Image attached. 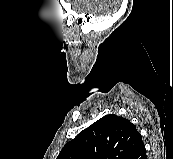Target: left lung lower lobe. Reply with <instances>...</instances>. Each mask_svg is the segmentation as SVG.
I'll list each match as a JSON object with an SVG mask.
<instances>
[{
  "label": "left lung lower lobe",
  "mask_w": 173,
  "mask_h": 159,
  "mask_svg": "<svg viewBox=\"0 0 173 159\" xmlns=\"http://www.w3.org/2000/svg\"><path fill=\"white\" fill-rule=\"evenodd\" d=\"M131 159H147L144 143L137 150V152L131 157Z\"/></svg>",
  "instance_id": "left-lung-lower-lobe-1"
}]
</instances>
